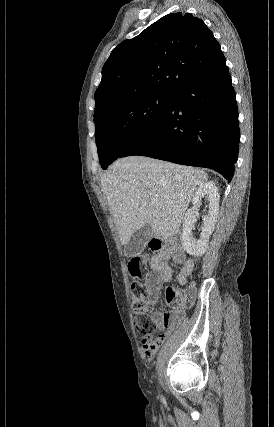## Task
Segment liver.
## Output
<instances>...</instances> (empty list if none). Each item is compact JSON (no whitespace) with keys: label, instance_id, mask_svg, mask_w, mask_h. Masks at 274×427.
Here are the masks:
<instances>
[{"label":"liver","instance_id":"1","mask_svg":"<svg viewBox=\"0 0 274 427\" xmlns=\"http://www.w3.org/2000/svg\"><path fill=\"white\" fill-rule=\"evenodd\" d=\"M207 180L203 170L162 160H116L101 184L122 245L144 225H151L159 239L177 233L194 192Z\"/></svg>","mask_w":274,"mask_h":427}]
</instances>
